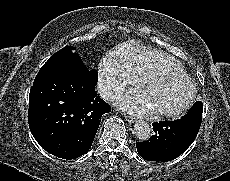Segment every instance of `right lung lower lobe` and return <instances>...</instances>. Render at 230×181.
I'll return each mask as SVG.
<instances>
[{
    "instance_id": "1",
    "label": "right lung lower lobe",
    "mask_w": 230,
    "mask_h": 181,
    "mask_svg": "<svg viewBox=\"0 0 230 181\" xmlns=\"http://www.w3.org/2000/svg\"><path fill=\"white\" fill-rule=\"evenodd\" d=\"M97 72L84 67L37 74L29 94V128L40 146L63 159L91 148L110 106L95 91Z\"/></svg>"
}]
</instances>
